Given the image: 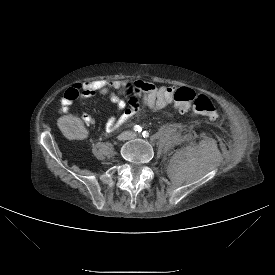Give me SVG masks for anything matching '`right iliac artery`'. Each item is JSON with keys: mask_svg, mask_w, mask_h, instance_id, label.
I'll return each instance as SVG.
<instances>
[{"mask_svg": "<svg viewBox=\"0 0 275 275\" xmlns=\"http://www.w3.org/2000/svg\"><path fill=\"white\" fill-rule=\"evenodd\" d=\"M133 130L135 131V132H141L142 131V128L139 126V125H136V126H134V128H133Z\"/></svg>", "mask_w": 275, "mask_h": 275, "instance_id": "obj_1", "label": "right iliac artery"}]
</instances>
